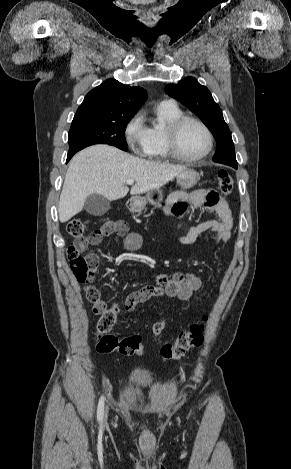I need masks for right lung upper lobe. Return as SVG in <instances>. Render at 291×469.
<instances>
[{"instance_id": "right-lung-upper-lobe-1", "label": "right lung upper lobe", "mask_w": 291, "mask_h": 469, "mask_svg": "<svg viewBox=\"0 0 291 469\" xmlns=\"http://www.w3.org/2000/svg\"><path fill=\"white\" fill-rule=\"evenodd\" d=\"M146 98L147 93L141 87L107 79L86 95L76 114L134 116Z\"/></svg>"}]
</instances>
